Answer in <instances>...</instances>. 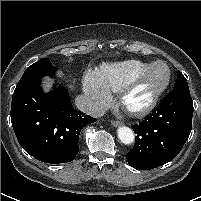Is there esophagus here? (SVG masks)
<instances>
[{
	"instance_id": "esophagus-1",
	"label": "esophagus",
	"mask_w": 201,
	"mask_h": 201,
	"mask_svg": "<svg viewBox=\"0 0 201 201\" xmlns=\"http://www.w3.org/2000/svg\"><path fill=\"white\" fill-rule=\"evenodd\" d=\"M111 124H112L114 127H118V126H121V125H122V122L117 121V120H112V121H111Z\"/></svg>"
}]
</instances>
